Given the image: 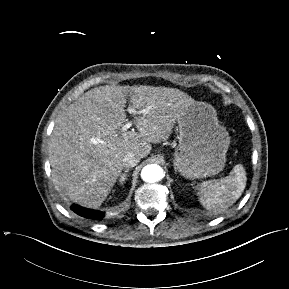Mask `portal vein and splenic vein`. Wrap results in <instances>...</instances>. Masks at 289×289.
I'll return each instance as SVG.
<instances>
[{
  "instance_id": "18ae733b",
  "label": "portal vein and splenic vein",
  "mask_w": 289,
  "mask_h": 289,
  "mask_svg": "<svg viewBox=\"0 0 289 289\" xmlns=\"http://www.w3.org/2000/svg\"><path fill=\"white\" fill-rule=\"evenodd\" d=\"M149 109L150 108L143 109L141 111H136L134 108H129L128 112L130 114L136 115V114H139V113H147ZM131 126H132V122H127L125 125H123L122 131H127V129H129Z\"/></svg>"
}]
</instances>
